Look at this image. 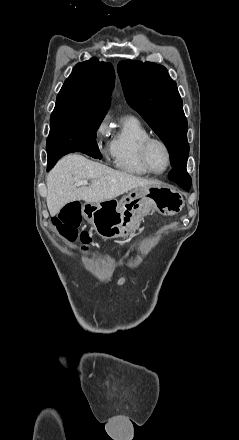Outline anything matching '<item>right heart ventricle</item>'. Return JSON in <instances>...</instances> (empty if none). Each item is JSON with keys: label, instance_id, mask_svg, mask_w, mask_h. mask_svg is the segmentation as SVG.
<instances>
[{"label": "right heart ventricle", "instance_id": "e07e8e85", "mask_svg": "<svg viewBox=\"0 0 239 440\" xmlns=\"http://www.w3.org/2000/svg\"><path fill=\"white\" fill-rule=\"evenodd\" d=\"M148 137L150 132L137 118L126 117L111 141L112 165L127 173L148 175L140 158V145Z\"/></svg>", "mask_w": 239, "mask_h": 440}]
</instances>
